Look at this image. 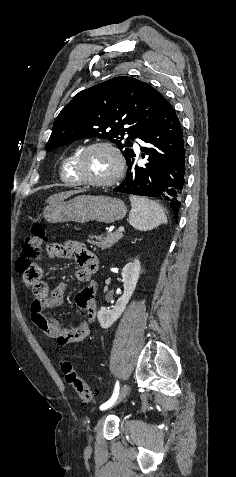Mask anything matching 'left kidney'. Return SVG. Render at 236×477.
Segmentation results:
<instances>
[{"label":"left kidney","instance_id":"obj_1","mask_svg":"<svg viewBox=\"0 0 236 477\" xmlns=\"http://www.w3.org/2000/svg\"><path fill=\"white\" fill-rule=\"evenodd\" d=\"M141 265L139 260H134L122 269V280L124 286L123 295L117 300L116 305L111 309L101 307L97 318L103 329L109 328L124 312L140 276Z\"/></svg>","mask_w":236,"mask_h":477}]
</instances>
